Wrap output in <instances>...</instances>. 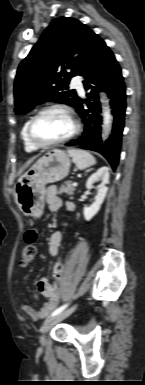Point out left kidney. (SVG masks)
Listing matches in <instances>:
<instances>
[{
    "mask_svg": "<svg viewBox=\"0 0 145 385\" xmlns=\"http://www.w3.org/2000/svg\"><path fill=\"white\" fill-rule=\"evenodd\" d=\"M101 180L102 183L97 187L98 192L95 197L94 203L90 207H85L83 209V215L86 221L91 220L100 210V207L106 197L108 187L106 186L109 183V168L103 166L99 168L94 174H92L87 180L86 187L87 189H92L93 184Z\"/></svg>",
    "mask_w": 145,
    "mask_h": 385,
    "instance_id": "5707ae66",
    "label": "left kidney"
}]
</instances>
